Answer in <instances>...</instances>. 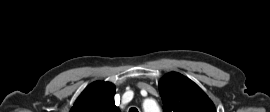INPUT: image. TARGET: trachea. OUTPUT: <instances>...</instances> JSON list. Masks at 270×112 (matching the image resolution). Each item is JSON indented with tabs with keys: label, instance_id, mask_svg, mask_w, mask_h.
I'll return each instance as SVG.
<instances>
[{
	"label": "trachea",
	"instance_id": "1",
	"mask_svg": "<svg viewBox=\"0 0 270 112\" xmlns=\"http://www.w3.org/2000/svg\"><path fill=\"white\" fill-rule=\"evenodd\" d=\"M129 112H139V111H138V109H137V108H135V107H131V108L129 109Z\"/></svg>",
	"mask_w": 270,
	"mask_h": 112
}]
</instances>
